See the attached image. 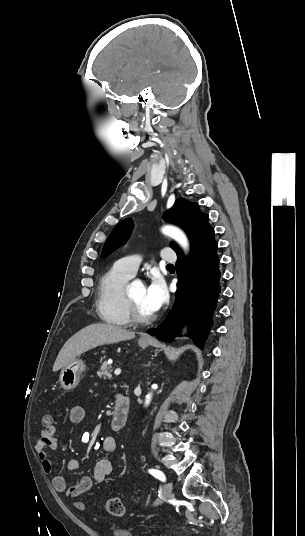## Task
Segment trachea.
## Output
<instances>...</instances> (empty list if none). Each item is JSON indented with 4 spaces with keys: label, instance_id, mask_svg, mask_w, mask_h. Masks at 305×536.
I'll return each mask as SVG.
<instances>
[{
    "label": "trachea",
    "instance_id": "trachea-1",
    "mask_svg": "<svg viewBox=\"0 0 305 536\" xmlns=\"http://www.w3.org/2000/svg\"><path fill=\"white\" fill-rule=\"evenodd\" d=\"M166 268H167L168 270H174V266L171 265V264L167 265Z\"/></svg>",
    "mask_w": 305,
    "mask_h": 536
}]
</instances>
